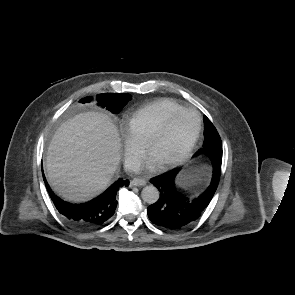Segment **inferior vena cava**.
I'll return each instance as SVG.
<instances>
[{"label": "inferior vena cava", "instance_id": "obj_1", "mask_svg": "<svg viewBox=\"0 0 295 295\" xmlns=\"http://www.w3.org/2000/svg\"><path fill=\"white\" fill-rule=\"evenodd\" d=\"M126 168L128 170H131V171H134V172H138L140 170V163H138V162H129L126 165Z\"/></svg>", "mask_w": 295, "mask_h": 295}]
</instances>
